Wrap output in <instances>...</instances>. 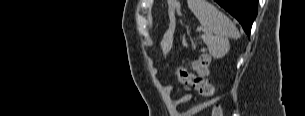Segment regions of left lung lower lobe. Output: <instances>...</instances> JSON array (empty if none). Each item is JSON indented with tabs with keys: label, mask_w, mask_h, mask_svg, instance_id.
Here are the masks:
<instances>
[{
	"label": "left lung lower lobe",
	"mask_w": 305,
	"mask_h": 116,
	"mask_svg": "<svg viewBox=\"0 0 305 116\" xmlns=\"http://www.w3.org/2000/svg\"><path fill=\"white\" fill-rule=\"evenodd\" d=\"M221 7L234 16L249 36L252 23L257 15L258 0H215Z\"/></svg>",
	"instance_id": "left-lung-lower-lobe-1"
}]
</instances>
